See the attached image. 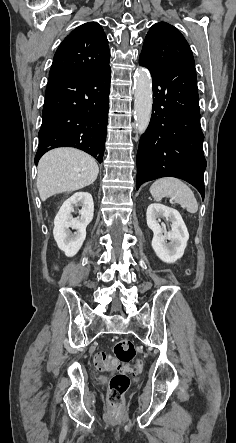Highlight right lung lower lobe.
I'll return each mask as SVG.
<instances>
[{"mask_svg":"<svg viewBox=\"0 0 236 443\" xmlns=\"http://www.w3.org/2000/svg\"><path fill=\"white\" fill-rule=\"evenodd\" d=\"M110 67L98 73L49 76L35 163L56 147H75L102 162L109 107Z\"/></svg>","mask_w":236,"mask_h":443,"instance_id":"98d812e1","label":"right lung lower lobe"}]
</instances>
